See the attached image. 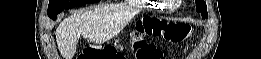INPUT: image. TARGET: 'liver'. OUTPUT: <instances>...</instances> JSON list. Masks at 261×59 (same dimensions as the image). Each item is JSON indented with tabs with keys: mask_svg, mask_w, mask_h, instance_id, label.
I'll return each instance as SVG.
<instances>
[{
	"mask_svg": "<svg viewBox=\"0 0 261 59\" xmlns=\"http://www.w3.org/2000/svg\"><path fill=\"white\" fill-rule=\"evenodd\" d=\"M128 18L116 9L100 5L78 11L60 22L56 42L63 59H73L80 36L95 43H104L125 27Z\"/></svg>",
	"mask_w": 261,
	"mask_h": 59,
	"instance_id": "1",
	"label": "liver"
}]
</instances>
